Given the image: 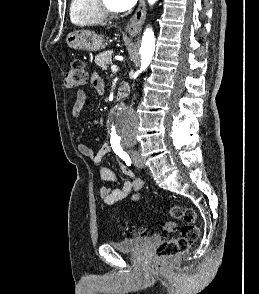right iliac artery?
I'll return each mask as SVG.
<instances>
[{
    "instance_id": "right-iliac-artery-1",
    "label": "right iliac artery",
    "mask_w": 259,
    "mask_h": 294,
    "mask_svg": "<svg viewBox=\"0 0 259 294\" xmlns=\"http://www.w3.org/2000/svg\"><path fill=\"white\" fill-rule=\"evenodd\" d=\"M111 147L113 151L116 153V155H118L122 160H124L128 166L131 165V159L129 155L122 149L120 143L111 142Z\"/></svg>"
}]
</instances>
